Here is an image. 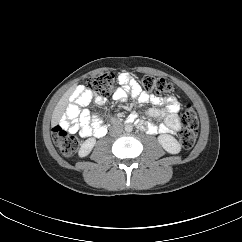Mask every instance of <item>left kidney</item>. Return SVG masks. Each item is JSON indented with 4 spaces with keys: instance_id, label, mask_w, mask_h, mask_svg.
<instances>
[{
    "instance_id": "5707ae66",
    "label": "left kidney",
    "mask_w": 242,
    "mask_h": 242,
    "mask_svg": "<svg viewBox=\"0 0 242 242\" xmlns=\"http://www.w3.org/2000/svg\"><path fill=\"white\" fill-rule=\"evenodd\" d=\"M158 141L168 153L178 154L181 151V145L179 142L169 134L160 135Z\"/></svg>"
}]
</instances>
